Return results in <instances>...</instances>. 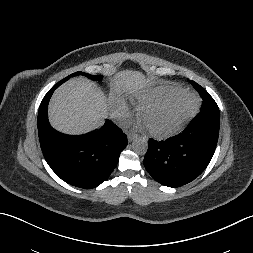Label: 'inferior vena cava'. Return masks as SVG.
Returning a JSON list of instances; mask_svg holds the SVG:
<instances>
[{
	"mask_svg": "<svg viewBox=\"0 0 253 253\" xmlns=\"http://www.w3.org/2000/svg\"><path fill=\"white\" fill-rule=\"evenodd\" d=\"M112 118L116 123L122 124V117L120 115H114Z\"/></svg>",
	"mask_w": 253,
	"mask_h": 253,
	"instance_id": "inferior-vena-cava-1",
	"label": "inferior vena cava"
}]
</instances>
